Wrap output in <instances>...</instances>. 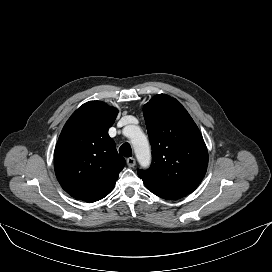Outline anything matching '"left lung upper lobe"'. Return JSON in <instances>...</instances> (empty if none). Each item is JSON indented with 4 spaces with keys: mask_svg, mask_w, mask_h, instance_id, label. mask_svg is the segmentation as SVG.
Segmentation results:
<instances>
[{
    "mask_svg": "<svg viewBox=\"0 0 272 272\" xmlns=\"http://www.w3.org/2000/svg\"><path fill=\"white\" fill-rule=\"evenodd\" d=\"M152 147V164L137 170L155 195L176 200L192 193L205 176L208 151L203 137L176 99L159 94L143 108Z\"/></svg>",
    "mask_w": 272,
    "mask_h": 272,
    "instance_id": "5c2ea615",
    "label": "left lung upper lobe"
}]
</instances>
